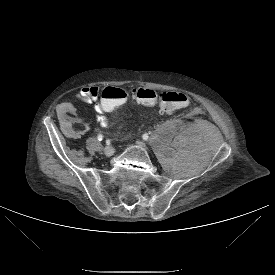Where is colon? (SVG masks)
Instances as JSON below:
<instances>
[{"label":"colon","instance_id":"obj_1","mask_svg":"<svg viewBox=\"0 0 275 275\" xmlns=\"http://www.w3.org/2000/svg\"><path fill=\"white\" fill-rule=\"evenodd\" d=\"M128 97L142 105L158 104L163 112H172L186 107L189 103L188 96L182 92H157L142 87H134L130 90L109 87L100 94V99L97 101L98 111L102 115H109L117 109L118 104L124 103Z\"/></svg>","mask_w":275,"mask_h":275}]
</instances>
